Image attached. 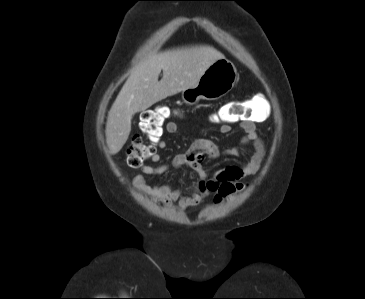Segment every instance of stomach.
I'll use <instances>...</instances> for the list:
<instances>
[{
  "label": "stomach",
  "instance_id": "0dacf381",
  "mask_svg": "<svg viewBox=\"0 0 365 299\" xmlns=\"http://www.w3.org/2000/svg\"><path fill=\"white\" fill-rule=\"evenodd\" d=\"M238 79L234 64L226 58L218 59L205 70L195 86L182 91V100L194 105L200 100L220 99L231 91Z\"/></svg>",
  "mask_w": 365,
  "mask_h": 299
}]
</instances>
